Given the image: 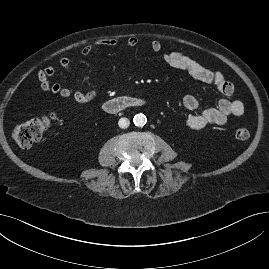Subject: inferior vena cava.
Returning a JSON list of instances; mask_svg holds the SVG:
<instances>
[{
  "instance_id": "obj_1",
  "label": "inferior vena cava",
  "mask_w": 269,
  "mask_h": 269,
  "mask_svg": "<svg viewBox=\"0 0 269 269\" xmlns=\"http://www.w3.org/2000/svg\"><path fill=\"white\" fill-rule=\"evenodd\" d=\"M129 124H130V121H129V119H127V118H120L119 119V121H118V125H119V127L120 128H127L128 126H129Z\"/></svg>"
}]
</instances>
